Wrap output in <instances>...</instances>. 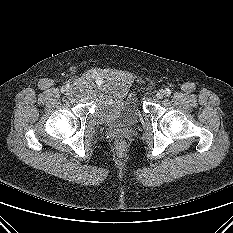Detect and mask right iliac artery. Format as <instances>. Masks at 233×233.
<instances>
[{
	"label": "right iliac artery",
	"instance_id": "1",
	"mask_svg": "<svg viewBox=\"0 0 233 233\" xmlns=\"http://www.w3.org/2000/svg\"><path fill=\"white\" fill-rule=\"evenodd\" d=\"M68 88H69L68 85H67L66 87H62V88H61V92L64 93Z\"/></svg>",
	"mask_w": 233,
	"mask_h": 233
}]
</instances>
